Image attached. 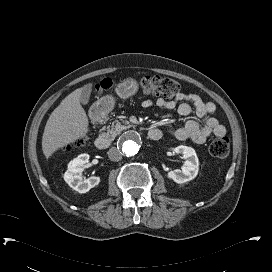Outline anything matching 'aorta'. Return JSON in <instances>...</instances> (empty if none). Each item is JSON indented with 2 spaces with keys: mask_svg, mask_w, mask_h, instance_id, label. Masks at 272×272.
Instances as JSON below:
<instances>
[{
  "mask_svg": "<svg viewBox=\"0 0 272 272\" xmlns=\"http://www.w3.org/2000/svg\"><path fill=\"white\" fill-rule=\"evenodd\" d=\"M143 138L137 131L127 132L120 141V148L127 157H133L140 153L143 148Z\"/></svg>",
  "mask_w": 272,
  "mask_h": 272,
  "instance_id": "1",
  "label": "aorta"
}]
</instances>
